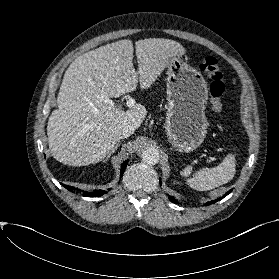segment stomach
Masks as SVG:
<instances>
[{
	"label": "stomach",
	"instance_id": "obj_1",
	"mask_svg": "<svg viewBox=\"0 0 279 279\" xmlns=\"http://www.w3.org/2000/svg\"><path fill=\"white\" fill-rule=\"evenodd\" d=\"M167 68L166 135L177 151L190 152L202 144L207 134V82L180 56L171 57Z\"/></svg>",
	"mask_w": 279,
	"mask_h": 279
}]
</instances>
